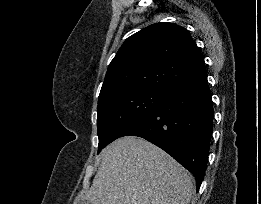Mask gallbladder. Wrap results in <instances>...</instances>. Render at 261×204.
I'll list each match as a JSON object with an SVG mask.
<instances>
[{
    "mask_svg": "<svg viewBox=\"0 0 261 204\" xmlns=\"http://www.w3.org/2000/svg\"><path fill=\"white\" fill-rule=\"evenodd\" d=\"M78 204H91L88 200H80Z\"/></svg>",
    "mask_w": 261,
    "mask_h": 204,
    "instance_id": "bac80fb5",
    "label": "gallbladder"
}]
</instances>
